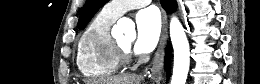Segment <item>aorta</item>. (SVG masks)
Masks as SVG:
<instances>
[{
    "label": "aorta",
    "instance_id": "762f6f07",
    "mask_svg": "<svg viewBox=\"0 0 260 84\" xmlns=\"http://www.w3.org/2000/svg\"><path fill=\"white\" fill-rule=\"evenodd\" d=\"M117 28L131 39L136 36L134 24L126 18L118 21ZM170 38L174 49L171 84H185L190 64L189 43L182 24L175 16L170 21Z\"/></svg>",
    "mask_w": 260,
    "mask_h": 84
}]
</instances>
